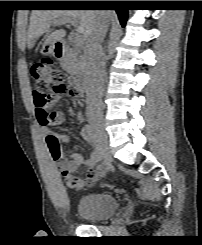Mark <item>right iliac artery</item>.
I'll use <instances>...</instances> for the list:
<instances>
[{"instance_id": "right-iliac-artery-1", "label": "right iliac artery", "mask_w": 202, "mask_h": 245, "mask_svg": "<svg viewBox=\"0 0 202 245\" xmlns=\"http://www.w3.org/2000/svg\"><path fill=\"white\" fill-rule=\"evenodd\" d=\"M84 129L86 130V132L90 136L91 140L94 142L95 147H96V158L98 161H100L104 156V150H103V146L101 145V143L98 140L97 133L91 124H86L84 126Z\"/></svg>"}]
</instances>
